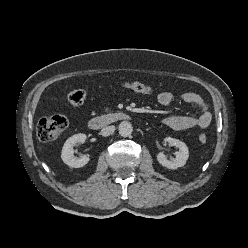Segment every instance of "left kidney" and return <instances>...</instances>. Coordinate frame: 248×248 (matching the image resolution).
<instances>
[{"label": "left kidney", "instance_id": "5707ae66", "mask_svg": "<svg viewBox=\"0 0 248 248\" xmlns=\"http://www.w3.org/2000/svg\"><path fill=\"white\" fill-rule=\"evenodd\" d=\"M164 141L168 142L170 145L177 147L179 151L176 153V157L172 159H168L163 152H160L157 155L158 162L163 167H167L168 169H177L184 166L189 157L187 145L184 142L171 137L165 138Z\"/></svg>", "mask_w": 248, "mask_h": 248}]
</instances>
